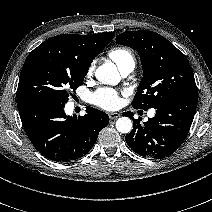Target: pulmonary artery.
<instances>
[{
  "label": "pulmonary artery",
  "instance_id": "pulmonary-artery-1",
  "mask_svg": "<svg viewBox=\"0 0 212 212\" xmlns=\"http://www.w3.org/2000/svg\"><path fill=\"white\" fill-rule=\"evenodd\" d=\"M134 67H135V64L131 63V64L125 66L124 68H122L121 69V73L124 76H126V75H128L129 73H131L133 71ZM154 115H155V111L154 110L149 111V113H148L149 117H153Z\"/></svg>",
  "mask_w": 212,
  "mask_h": 212
}]
</instances>
